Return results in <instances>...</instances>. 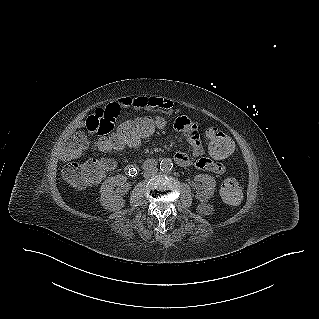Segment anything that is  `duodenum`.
<instances>
[{"instance_id":"duodenum-1","label":"duodenum","mask_w":319,"mask_h":319,"mask_svg":"<svg viewBox=\"0 0 319 319\" xmlns=\"http://www.w3.org/2000/svg\"><path fill=\"white\" fill-rule=\"evenodd\" d=\"M156 166H157V160L151 158V159L146 160L141 166H138V165L133 164V163L126 165L125 173L129 177H135L139 173L140 169L152 170Z\"/></svg>"}]
</instances>
